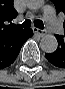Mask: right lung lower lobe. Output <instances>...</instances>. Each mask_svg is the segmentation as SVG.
Returning <instances> with one entry per match:
<instances>
[{
  "label": "right lung lower lobe",
  "mask_w": 65,
  "mask_h": 89,
  "mask_svg": "<svg viewBox=\"0 0 65 89\" xmlns=\"http://www.w3.org/2000/svg\"><path fill=\"white\" fill-rule=\"evenodd\" d=\"M31 36H33L32 29H21L0 36V69L14 62L23 43Z\"/></svg>",
  "instance_id": "right-lung-lower-lobe-1"
}]
</instances>
